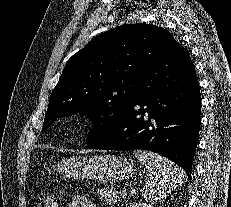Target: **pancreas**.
<instances>
[{
    "label": "pancreas",
    "mask_w": 231,
    "mask_h": 207,
    "mask_svg": "<svg viewBox=\"0 0 231 207\" xmlns=\"http://www.w3.org/2000/svg\"><path fill=\"white\" fill-rule=\"evenodd\" d=\"M98 197L106 204L112 205L119 201L121 193L111 188H101L97 192Z\"/></svg>",
    "instance_id": "obj_1"
}]
</instances>
